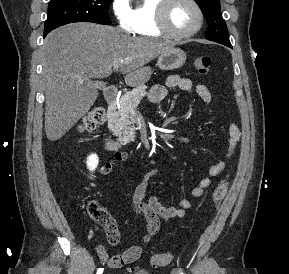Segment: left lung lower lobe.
I'll return each instance as SVG.
<instances>
[{
    "label": "left lung lower lobe",
    "instance_id": "obj_1",
    "mask_svg": "<svg viewBox=\"0 0 289 274\" xmlns=\"http://www.w3.org/2000/svg\"><path fill=\"white\" fill-rule=\"evenodd\" d=\"M223 45H224V44H223ZM225 46H228V47L232 48V45H231V44H227V45H225Z\"/></svg>",
    "mask_w": 289,
    "mask_h": 274
}]
</instances>
